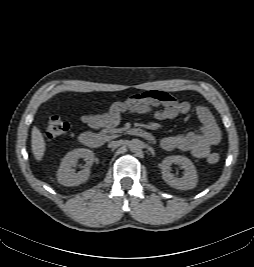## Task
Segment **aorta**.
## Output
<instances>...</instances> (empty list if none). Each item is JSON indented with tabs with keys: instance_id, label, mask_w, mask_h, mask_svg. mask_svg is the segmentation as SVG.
<instances>
[{
	"instance_id": "762f6f07",
	"label": "aorta",
	"mask_w": 254,
	"mask_h": 267,
	"mask_svg": "<svg viewBox=\"0 0 254 267\" xmlns=\"http://www.w3.org/2000/svg\"><path fill=\"white\" fill-rule=\"evenodd\" d=\"M142 141H140L139 139H132L130 142H129V149L131 152L133 153H137V152H140L141 149H142Z\"/></svg>"
}]
</instances>
